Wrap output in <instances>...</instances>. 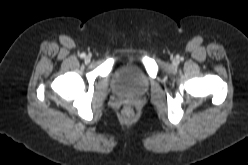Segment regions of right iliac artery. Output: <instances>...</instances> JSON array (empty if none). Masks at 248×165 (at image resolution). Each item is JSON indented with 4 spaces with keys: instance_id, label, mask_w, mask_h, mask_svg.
I'll return each instance as SVG.
<instances>
[{
    "instance_id": "1",
    "label": "right iliac artery",
    "mask_w": 248,
    "mask_h": 165,
    "mask_svg": "<svg viewBox=\"0 0 248 165\" xmlns=\"http://www.w3.org/2000/svg\"><path fill=\"white\" fill-rule=\"evenodd\" d=\"M85 56H86L85 53H81V54H80V57H81V58H84Z\"/></svg>"
}]
</instances>
